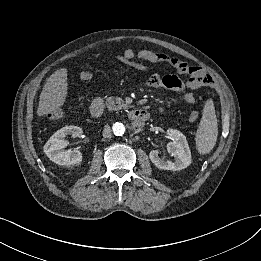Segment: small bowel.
<instances>
[{
	"label": "small bowel",
	"instance_id": "small-bowel-1",
	"mask_svg": "<svg viewBox=\"0 0 261 261\" xmlns=\"http://www.w3.org/2000/svg\"><path fill=\"white\" fill-rule=\"evenodd\" d=\"M119 60L128 65L140 67L148 71H153L159 62H165L175 66L179 59L165 53H157L147 49L135 51L131 48H127L124 50ZM142 62H146L147 64L143 65ZM91 78V71H82L81 79L83 81H89ZM148 84L153 89L165 88L175 92H183L184 105H192L195 103L194 94L186 91L195 90L198 88L192 87L188 81L184 82L176 75L160 76L157 73H151Z\"/></svg>",
	"mask_w": 261,
	"mask_h": 261
}]
</instances>
